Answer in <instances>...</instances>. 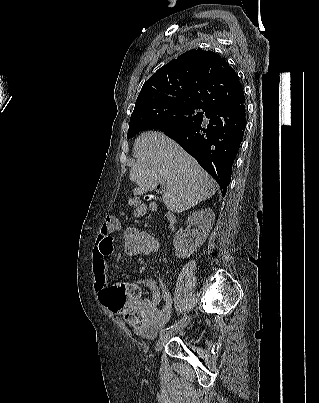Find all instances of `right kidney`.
<instances>
[{"label":"right kidney","mask_w":319,"mask_h":403,"mask_svg":"<svg viewBox=\"0 0 319 403\" xmlns=\"http://www.w3.org/2000/svg\"><path fill=\"white\" fill-rule=\"evenodd\" d=\"M214 220L215 215L210 208L201 209L189 216L187 224L198 226L199 232L190 237L182 228L176 232L173 241L176 256L184 259L196 252L197 248L202 246L209 236Z\"/></svg>","instance_id":"obj_1"}]
</instances>
